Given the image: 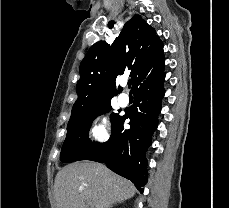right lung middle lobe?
Returning <instances> with one entry per match:
<instances>
[{
  "instance_id": "obj_1",
  "label": "right lung middle lobe",
  "mask_w": 229,
  "mask_h": 208,
  "mask_svg": "<svg viewBox=\"0 0 229 208\" xmlns=\"http://www.w3.org/2000/svg\"><path fill=\"white\" fill-rule=\"evenodd\" d=\"M111 100L105 101L95 108H93L88 114L71 118L67 125V136L63 143L61 150V161L70 163L77 161L86 152L91 150L97 143H92L89 138V129L93 120L106 112L111 110ZM121 116L116 113L111 114L112 129L117 125Z\"/></svg>"
}]
</instances>
